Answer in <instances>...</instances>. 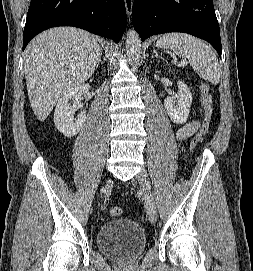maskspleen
Instances as JSON below:
<instances>
[{"label": "spleen", "instance_id": "spleen-1", "mask_svg": "<svg viewBox=\"0 0 253 271\" xmlns=\"http://www.w3.org/2000/svg\"><path fill=\"white\" fill-rule=\"evenodd\" d=\"M157 47L170 49L178 56L188 59L193 70L204 80L213 84L220 81L218 59L206 43L184 33H166L156 43Z\"/></svg>", "mask_w": 253, "mask_h": 271}]
</instances>
